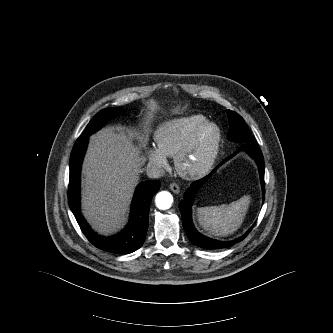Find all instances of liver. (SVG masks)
Segmentation results:
<instances>
[{
	"label": "liver",
	"mask_w": 333,
	"mask_h": 333,
	"mask_svg": "<svg viewBox=\"0 0 333 333\" xmlns=\"http://www.w3.org/2000/svg\"><path fill=\"white\" fill-rule=\"evenodd\" d=\"M135 133L104 128L92 135L83 164V213L92 227L109 234L122 226L144 163Z\"/></svg>",
	"instance_id": "liver-1"
}]
</instances>
